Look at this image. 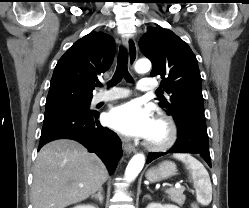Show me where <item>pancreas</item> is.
Instances as JSON below:
<instances>
[{
  "label": "pancreas",
  "instance_id": "cf45deb5",
  "mask_svg": "<svg viewBox=\"0 0 249 208\" xmlns=\"http://www.w3.org/2000/svg\"><path fill=\"white\" fill-rule=\"evenodd\" d=\"M184 192V188H178V189H170L168 191V194H169V198L179 204V205H183L184 202H185V195L183 194Z\"/></svg>",
  "mask_w": 249,
  "mask_h": 208
}]
</instances>
